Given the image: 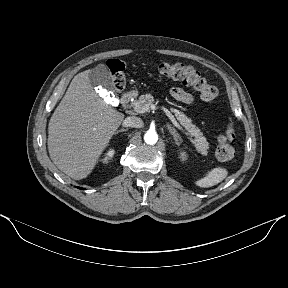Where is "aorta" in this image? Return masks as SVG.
Instances as JSON below:
<instances>
[{"label": "aorta", "mask_w": 288, "mask_h": 288, "mask_svg": "<svg viewBox=\"0 0 288 288\" xmlns=\"http://www.w3.org/2000/svg\"><path fill=\"white\" fill-rule=\"evenodd\" d=\"M144 141L147 144L153 145L158 141V135L155 131H148L144 135Z\"/></svg>", "instance_id": "762f6f07"}]
</instances>
